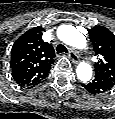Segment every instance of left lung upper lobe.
Segmentation results:
<instances>
[{
	"label": "left lung upper lobe",
	"mask_w": 115,
	"mask_h": 119,
	"mask_svg": "<svg viewBox=\"0 0 115 119\" xmlns=\"http://www.w3.org/2000/svg\"><path fill=\"white\" fill-rule=\"evenodd\" d=\"M88 34L96 55L100 56L95 64V73L115 83V35L103 26L89 29Z\"/></svg>",
	"instance_id": "1"
}]
</instances>
